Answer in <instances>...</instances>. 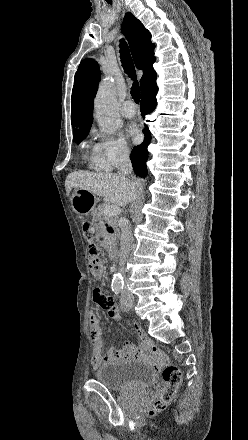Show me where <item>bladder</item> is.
<instances>
[{
    "label": "bladder",
    "instance_id": "bladder-1",
    "mask_svg": "<svg viewBox=\"0 0 248 440\" xmlns=\"http://www.w3.org/2000/svg\"><path fill=\"white\" fill-rule=\"evenodd\" d=\"M94 377L110 390H144L153 383L155 373L143 362L123 359L100 366Z\"/></svg>",
    "mask_w": 248,
    "mask_h": 440
}]
</instances>
